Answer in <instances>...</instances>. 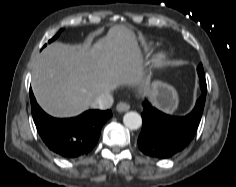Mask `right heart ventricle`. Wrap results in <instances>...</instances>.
<instances>
[{"instance_id":"right-heart-ventricle-1","label":"right heart ventricle","mask_w":236,"mask_h":187,"mask_svg":"<svg viewBox=\"0 0 236 187\" xmlns=\"http://www.w3.org/2000/svg\"><path fill=\"white\" fill-rule=\"evenodd\" d=\"M155 49V44L152 42L144 43L141 47V52L144 54H149Z\"/></svg>"}]
</instances>
